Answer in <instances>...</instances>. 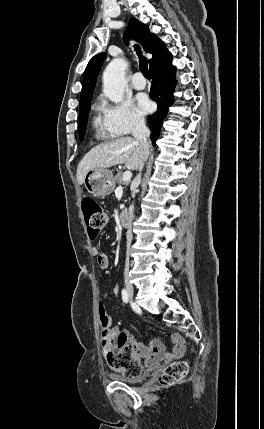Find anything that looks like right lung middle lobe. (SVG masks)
Wrapping results in <instances>:
<instances>
[{"label": "right lung middle lobe", "instance_id": "obj_1", "mask_svg": "<svg viewBox=\"0 0 264 429\" xmlns=\"http://www.w3.org/2000/svg\"><path fill=\"white\" fill-rule=\"evenodd\" d=\"M91 103L79 106V136L82 140L86 131L88 113L90 111Z\"/></svg>", "mask_w": 264, "mask_h": 429}]
</instances>
